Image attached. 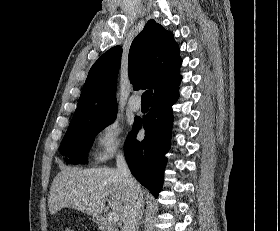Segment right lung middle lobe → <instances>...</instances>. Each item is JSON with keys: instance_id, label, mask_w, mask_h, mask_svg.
<instances>
[{"instance_id": "obj_1", "label": "right lung middle lobe", "mask_w": 280, "mask_h": 231, "mask_svg": "<svg viewBox=\"0 0 280 231\" xmlns=\"http://www.w3.org/2000/svg\"><path fill=\"white\" fill-rule=\"evenodd\" d=\"M116 114L109 117L71 123L61 143V154L66 162L72 164L87 163V153L94 137L112 123Z\"/></svg>"}]
</instances>
